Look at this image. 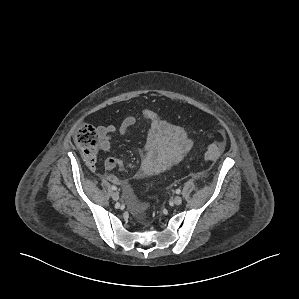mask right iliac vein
Wrapping results in <instances>:
<instances>
[{"mask_svg": "<svg viewBox=\"0 0 299 299\" xmlns=\"http://www.w3.org/2000/svg\"><path fill=\"white\" fill-rule=\"evenodd\" d=\"M111 197L113 200L117 201L119 199V193L118 192H112Z\"/></svg>", "mask_w": 299, "mask_h": 299, "instance_id": "63e3f726", "label": "right iliac vein"}]
</instances>
